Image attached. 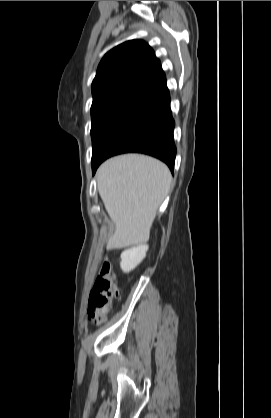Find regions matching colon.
Segmentation results:
<instances>
[{
    "instance_id": "colon-1",
    "label": "colon",
    "mask_w": 271,
    "mask_h": 418,
    "mask_svg": "<svg viewBox=\"0 0 271 418\" xmlns=\"http://www.w3.org/2000/svg\"><path fill=\"white\" fill-rule=\"evenodd\" d=\"M117 296L118 290L110 263L104 261L89 295V320L96 324L104 322Z\"/></svg>"
}]
</instances>
